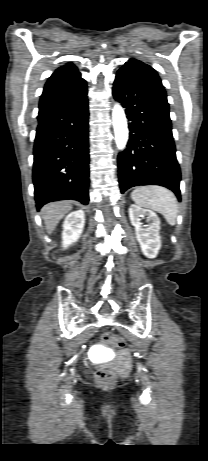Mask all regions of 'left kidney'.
<instances>
[{
  "label": "left kidney",
  "instance_id": "left-kidney-1",
  "mask_svg": "<svg viewBox=\"0 0 208 461\" xmlns=\"http://www.w3.org/2000/svg\"><path fill=\"white\" fill-rule=\"evenodd\" d=\"M147 216L149 225L143 226L141 217ZM131 224L135 227L136 238L140 244L143 254L148 258H155L161 248L159 236L160 219L158 215L148 209H143L132 204L129 208ZM146 227V228H144Z\"/></svg>",
  "mask_w": 208,
  "mask_h": 461
}]
</instances>
